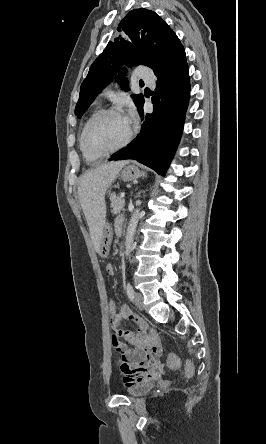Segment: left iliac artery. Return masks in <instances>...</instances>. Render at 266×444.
Wrapping results in <instances>:
<instances>
[{
    "instance_id": "left-iliac-artery-1",
    "label": "left iliac artery",
    "mask_w": 266,
    "mask_h": 444,
    "mask_svg": "<svg viewBox=\"0 0 266 444\" xmlns=\"http://www.w3.org/2000/svg\"><path fill=\"white\" fill-rule=\"evenodd\" d=\"M126 293H127L128 297H129V299L133 300V298H134V290H133V287L131 286L130 283H127Z\"/></svg>"
}]
</instances>
